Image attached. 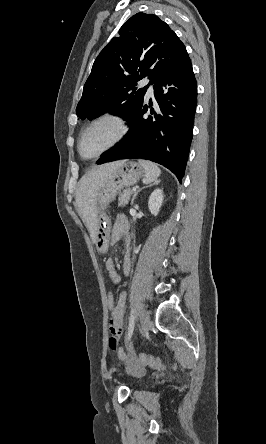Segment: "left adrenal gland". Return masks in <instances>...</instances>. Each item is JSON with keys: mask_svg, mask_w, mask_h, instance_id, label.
I'll return each instance as SVG.
<instances>
[{"mask_svg": "<svg viewBox=\"0 0 266 444\" xmlns=\"http://www.w3.org/2000/svg\"><path fill=\"white\" fill-rule=\"evenodd\" d=\"M159 182H160L159 180H156L153 184L148 185V186H144V187H142L141 189H139L137 192H135L134 195H133V198H132V200H131V205H133L134 200H135L137 194H138L141 190H143V189H145V188H147V187H151V186H153V185H156V184H158Z\"/></svg>", "mask_w": 266, "mask_h": 444, "instance_id": "left-adrenal-gland-1", "label": "left adrenal gland"}]
</instances>
